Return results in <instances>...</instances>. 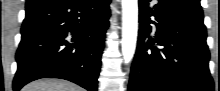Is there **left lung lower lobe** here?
Segmentation results:
<instances>
[{
    "label": "left lung lower lobe",
    "instance_id": "1",
    "mask_svg": "<svg viewBox=\"0 0 220 91\" xmlns=\"http://www.w3.org/2000/svg\"><path fill=\"white\" fill-rule=\"evenodd\" d=\"M151 1L139 0V36L128 90L213 91L202 8L185 0Z\"/></svg>",
    "mask_w": 220,
    "mask_h": 91
}]
</instances>
